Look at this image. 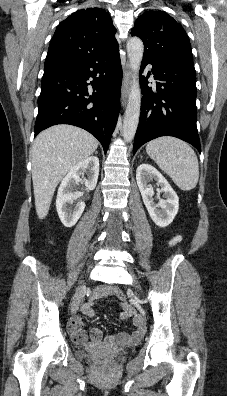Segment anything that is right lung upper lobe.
Returning <instances> with one entry per match:
<instances>
[{"label":"right lung upper lobe","instance_id":"cb5924a9","mask_svg":"<svg viewBox=\"0 0 227 396\" xmlns=\"http://www.w3.org/2000/svg\"><path fill=\"white\" fill-rule=\"evenodd\" d=\"M115 33L104 9L87 8L73 13L57 27L44 70L88 61L118 49Z\"/></svg>","mask_w":227,"mask_h":396}]
</instances>
